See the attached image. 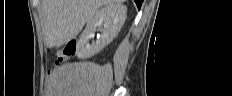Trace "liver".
I'll return each instance as SVG.
<instances>
[{
    "instance_id": "6515ba94",
    "label": "liver",
    "mask_w": 232,
    "mask_h": 96,
    "mask_svg": "<svg viewBox=\"0 0 232 96\" xmlns=\"http://www.w3.org/2000/svg\"><path fill=\"white\" fill-rule=\"evenodd\" d=\"M125 0H42L45 44L59 47L74 39L102 5Z\"/></svg>"
}]
</instances>
